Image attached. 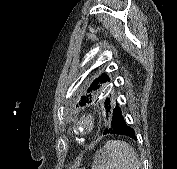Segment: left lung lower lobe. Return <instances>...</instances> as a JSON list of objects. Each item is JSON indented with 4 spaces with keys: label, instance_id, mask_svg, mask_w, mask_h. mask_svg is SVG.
<instances>
[{
    "label": "left lung lower lobe",
    "instance_id": "left-lung-lower-lobe-1",
    "mask_svg": "<svg viewBox=\"0 0 177 169\" xmlns=\"http://www.w3.org/2000/svg\"><path fill=\"white\" fill-rule=\"evenodd\" d=\"M106 134L126 135L132 139H136L134 129L127 124L118 105L113 109L109 127L103 132V135Z\"/></svg>",
    "mask_w": 177,
    "mask_h": 169
}]
</instances>
